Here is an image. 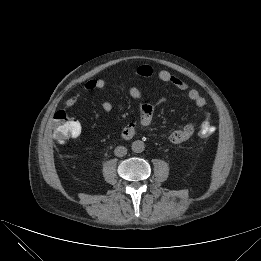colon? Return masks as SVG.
Masks as SVG:
<instances>
[{
	"mask_svg": "<svg viewBox=\"0 0 261 261\" xmlns=\"http://www.w3.org/2000/svg\"><path fill=\"white\" fill-rule=\"evenodd\" d=\"M215 132V127L209 122L201 125L199 137L207 139ZM80 133L78 122L75 118L68 116L64 111H58L53 119V137L56 142L62 144L76 138Z\"/></svg>",
	"mask_w": 261,
	"mask_h": 261,
	"instance_id": "obj_1",
	"label": "colon"
}]
</instances>
